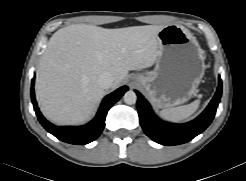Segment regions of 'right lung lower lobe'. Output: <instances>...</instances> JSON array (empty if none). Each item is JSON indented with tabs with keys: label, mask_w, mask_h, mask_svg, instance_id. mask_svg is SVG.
Returning a JSON list of instances; mask_svg holds the SVG:
<instances>
[{
	"label": "right lung lower lobe",
	"mask_w": 246,
	"mask_h": 181,
	"mask_svg": "<svg viewBox=\"0 0 246 181\" xmlns=\"http://www.w3.org/2000/svg\"><path fill=\"white\" fill-rule=\"evenodd\" d=\"M128 90L127 86H122L116 91L112 92L111 94L107 95L95 118L89 122L88 124L84 126L79 127H59L51 124L48 122L40 113L37 103L35 100L34 95V79H32L31 83V99L32 103L36 112V115L38 117L39 122L42 124V126L52 135L57 137L59 140L70 143V144H77V145H85L87 143L92 142L95 140L105 126V118L108 110L112 107L114 103H116L123 94Z\"/></svg>",
	"instance_id": "98d812e1"
}]
</instances>
